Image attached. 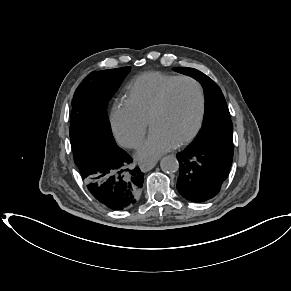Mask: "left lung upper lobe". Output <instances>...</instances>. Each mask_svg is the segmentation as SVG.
<instances>
[{"instance_id":"left-lung-upper-lobe-1","label":"left lung upper lobe","mask_w":291,"mask_h":291,"mask_svg":"<svg viewBox=\"0 0 291 291\" xmlns=\"http://www.w3.org/2000/svg\"><path fill=\"white\" fill-rule=\"evenodd\" d=\"M174 70L199 81L204 89L206 99L203 126L189 146L214 147L234 152L233 125L228 106L219 86L207 75L196 69L176 67Z\"/></svg>"}]
</instances>
